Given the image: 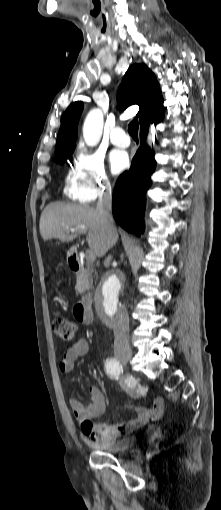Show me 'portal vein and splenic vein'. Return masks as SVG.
<instances>
[{
    "mask_svg": "<svg viewBox=\"0 0 221 510\" xmlns=\"http://www.w3.org/2000/svg\"><path fill=\"white\" fill-rule=\"evenodd\" d=\"M80 233H85V227L81 226L80 227ZM71 231H74V229H71ZM95 253L92 251V250H87L86 251V260L88 262H93L95 260Z\"/></svg>",
    "mask_w": 221,
    "mask_h": 510,
    "instance_id": "portal-vein-and-splenic-vein-1",
    "label": "portal vein and splenic vein"
}]
</instances>
